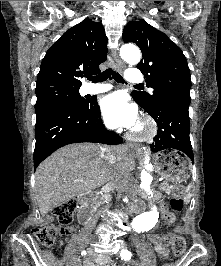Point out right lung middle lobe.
<instances>
[{
	"instance_id": "1",
	"label": "right lung middle lobe",
	"mask_w": 221,
	"mask_h": 266,
	"mask_svg": "<svg viewBox=\"0 0 221 266\" xmlns=\"http://www.w3.org/2000/svg\"><path fill=\"white\" fill-rule=\"evenodd\" d=\"M37 101L35 111L37 118L58 107L82 108L88 103L79 94V87L48 85L36 87Z\"/></svg>"
}]
</instances>
